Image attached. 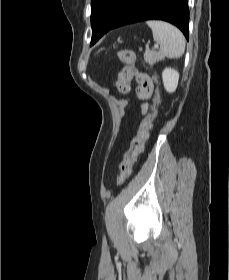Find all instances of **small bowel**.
Returning a JSON list of instances; mask_svg holds the SVG:
<instances>
[{"label":"small bowel","instance_id":"small-bowel-1","mask_svg":"<svg viewBox=\"0 0 229 280\" xmlns=\"http://www.w3.org/2000/svg\"><path fill=\"white\" fill-rule=\"evenodd\" d=\"M131 81H132V80H131ZM131 81H129V83H128V90H127V92H125V93H128V92H129L130 86H131ZM118 82H119V81H118ZM118 82H117V84H118ZM136 95H137V97L140 98V99H147V98H148V97H146V96L144 95V93H143V91H142V89H141L140 86H138L137 89H136ZM147 109H148V106H147L146 104H144V105L142 106V111H143V113H146V112H147Z\"/></svg>","mask_w":229,"mask_h":280}]
</instances>
